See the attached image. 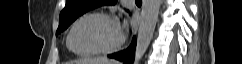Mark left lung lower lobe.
I'll use <instances>...</instances> for the list:
<instances>
[{"label": "left lung lower lobe", "mask_w": 242, "mask_h": 64, "mask_svg": "<svg viewBox=\"0 0 242 64\" xmlns=\"http://www.w3.org/2000/svg\"><path fill=\"white\" fill-rule=\"evenodd\" d=\"M136 41L135 37L130 44V46L123 51L108 55L109 58L116 59L123 62V64H132L135 56Z\"/></svg>", "instance_id": "1"}]
</instances>
